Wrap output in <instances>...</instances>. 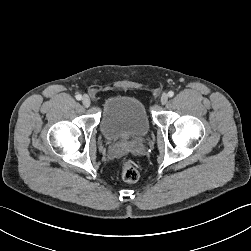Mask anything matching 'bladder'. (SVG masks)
Wrapping results in <instances>:
<instances>
[{"instance_id": "obj_1", "label": "bladder", "mask_w": 251, "mask_h": 251, "mask_svg": "<svg viewBox=\"0 0 251 251\" xmlns=\"http://www.w3.org/2000/svg\"><path fill=\"white\" fill-rule=\"evenodd\" d=\"M100 129L110 142L139 139L150 129L144 104L136 97L115 95L103 104Z\"/></svg>"}]
</instances>
